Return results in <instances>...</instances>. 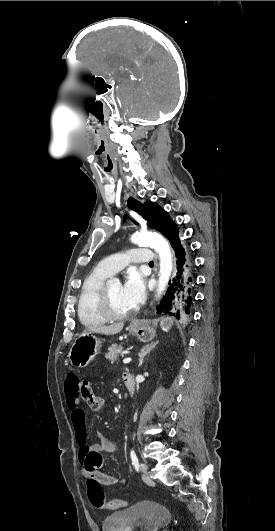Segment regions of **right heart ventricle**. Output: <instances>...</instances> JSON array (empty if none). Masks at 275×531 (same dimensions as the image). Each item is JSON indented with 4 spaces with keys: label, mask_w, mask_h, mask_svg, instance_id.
<instances>
[{
    "label": "right heart ventricle",
    "mask_w": 275,
    "mask_h": 531,
    "mask_svg": "<svg viewBox=\"0 0 275 531\" xmlns=\"http://www.w3.org/2000/svg\"><path fill=\"white\" fill-rule=\"evenodd\" d=\"M110 273L103 269L89 274L83 281L78 301L77 312L80 322L86 327H97L107 322V318L98 306L100 287Z\"/></svg>",
    "instance_id": "1"
}]
</instances>
